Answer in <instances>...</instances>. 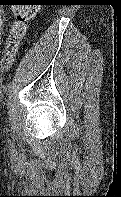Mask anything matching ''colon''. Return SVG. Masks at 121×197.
Segmentation results:
<instances>
[{
    "mask_svg": "<svg viewBox=\"0 0 121 197\" xmlns=\"http://www.w3.org/2000/svg\"><path fill=\"white\" fill-rule=\"evenodd\" d=\"M36 0H12V12L15 21L10 27L9 36L5 43L3 56L0 61L2 69L10 68L14 57L18 53L20 44L26 35L27 22L33 19L37 12Z\"/></svg>",
    "mask_w": 121,
    "mask_h": 197,
    "instance_id": "colon-1",
    "label": "colon"
}]
</instances>
